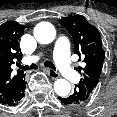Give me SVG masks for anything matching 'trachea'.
Wrapping results in <instances>:
<instances>
[{"label": "trachea", "mask_w": 117, "mask_h": 117, "mask_svg": "<svg viewBox=\"0 0 117 117\" xmlns=\"http://www.w3.org/2000/svg\"><path fill=\"white\" fill-rule=\"evenodd\" d=\"M44 65L46 67H49L51 69H53L54 71H56V67L54 66V64L51 62V61H45L44 62ZM18 67L24 71H27V70H33V69H37V64H31V65H26V66H21L20 64L18 65Z\"/></svg>", "instance_id": "obj_1"}]
</instances>
